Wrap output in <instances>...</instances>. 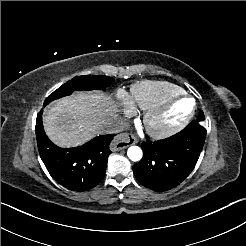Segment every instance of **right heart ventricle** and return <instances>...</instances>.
I'll return each instance as SVG.
<instances>
[{
	"mask_svg": "<svg viewBox=\"0 0 246 246\" xmlns=\"http://www.w3.org/2000/svg\"><path fill=\"white\" fill-rule=\"evenodd\" d=\"M182 89L167 82L140 81L131 86L130 106L149 111L181 95Z\"/></svg>",
	"mask_w": 246,
	"mask_h": 246,
	"instance_id": "obj_1",
	"label": "right heart ventricle"
}]
</instances>
